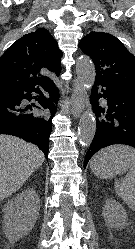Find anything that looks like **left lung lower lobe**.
Masks as SVG:
<instances>
[{"instance_id":"obj_1","label":"left lung lower lobe","mask_w":135,"mask_h":249,"mask_svg":"<svg viewBox=\"0 0 135 249\" xmlns=\"http://www.w3.org/2000/svg\"><path fill=\"white\" fill-rule=\"evenodd\" d=\"M99 85L102 93H98ZM99 98L106 99L104 107L98 105ZM91 102L97 129L86 153L84 168L91 157L106 146L126 144L135 147V93L95 82Z\"/></svg>"}]
</instances>
